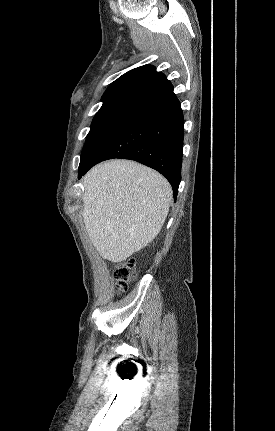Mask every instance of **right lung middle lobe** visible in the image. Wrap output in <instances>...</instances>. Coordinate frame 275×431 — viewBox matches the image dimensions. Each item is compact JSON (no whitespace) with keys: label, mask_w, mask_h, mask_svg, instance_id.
<instances>
[{"label":"right lung middle lobe","mask_w":275,"mask_h":431,"mask_svg":"<svg viewBox=\"0 0 275 431\" xmlns=\"http://www.w3.org/2000/svg\"><path fill=\"white\" fill-rule=\"evenodd\" d=\"M136 111L116 110L95 115L82 150L79 169L87 166Z\"/></svg>","instance_id":"1"}]
</instances>
